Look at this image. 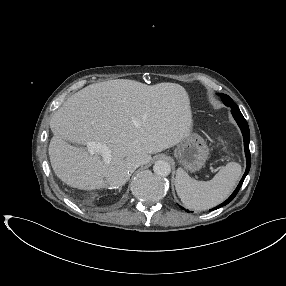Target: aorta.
<instances>
[{"label":"aorta","mask_w":286,"mask_h":286,"mask_svg":"<svg viewBox=\"0 0 286 286\" xmlns=\"http://www.w3.org/2000/svg\"><path fill=\"white\" fill-rule=\"evenodd\" d=\"M153 171L158 176H168L171 172L170 164L165 160H158L153 165Z\"/></svg>","instance_id":"762f6f07"}]
</instances>
